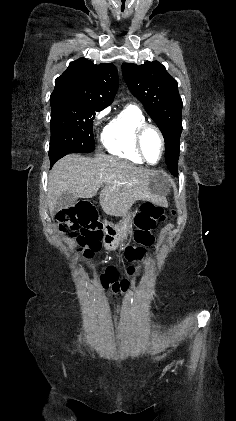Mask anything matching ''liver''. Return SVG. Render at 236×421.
I'll list each match as a JSON object with an SVG mask.
<instances>
[{
	"label": "liver",
	"mask_w": 236,
	"mask_h": 421,
	"mask_svg": "<svg viewBox=\"0 0 236 421\" xmlns=\"http://www.w3.org/2000/svg\"><path fill=\"white\" fill-rule=\"evenodd\" d=\"M105 178H109V182ZM100 186H103L99 196L102 211L111 217L127 215L135 200H151L156 204L164 202V198L152 194L145 168H138L110 154H66L55 162L49 172L47 202L51 217H54L57 198L63 192L91 198Z\"/></svg>",
	"instance_id": "6515ba94"
}]
</instances>
